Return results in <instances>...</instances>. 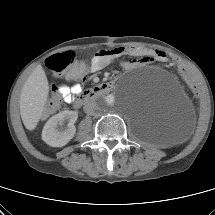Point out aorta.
I'll return each instance as SVG.
<instances>
[{
  "mask_svg": "<svg viewBox=\"0 0 215 215\" xmlns=\"http://www.w3.org/2000/svg\"><path fill=\"white\" fill-rule=\"evenodd\" d=\"M115 102V97L113 95H108L98 100V106L104 110L112 109L115 105Z\"/></svg>",
  "mask_w": 215,
  "mask_h": 215,
  "instance_id": "obj_1",
  "label": "aorta"
}]
</instances>
